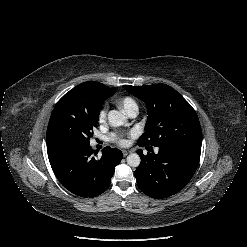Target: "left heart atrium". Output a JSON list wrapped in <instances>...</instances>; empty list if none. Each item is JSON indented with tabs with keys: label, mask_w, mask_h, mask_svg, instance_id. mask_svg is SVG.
<instances>
[{
	"label": "left heart atrium",
	"mask_w": 247,
	"mask_h": 247,
	"mask_svg": "<svg viewBox=\"0 0 247 247\" xmlns=\"http://www.w3.org/2000/svg\"><path fill=\"white\" fill-rule=\"evenodd\" d=\"M111 140L117 142L120 145H126L127 140L122 134H112L111 135Z\"/></svg>",
	"instance_id": "left-heart-atrium-1"
}]
</instances>
